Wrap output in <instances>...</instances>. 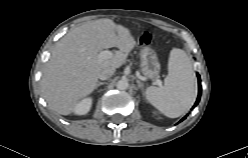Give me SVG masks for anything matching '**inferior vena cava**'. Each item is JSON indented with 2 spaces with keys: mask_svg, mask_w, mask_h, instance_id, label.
I'll return each mask as SVG.
<instances>
[{
  "mask_svg": "<svg viewBox=\"0 0 248 158\" xmlns=\"http://www.w3.org/2000/svg\"><path fill=\"white\" fill-rule=\"evenodd\" d=\"M115 73V68L113 67H108L105 68L101 71V73L99 74V79L101 80H107L109 79L113 74Z\"/></svg>",
  "mask_w": 248,
  "mask_h": 158,
  "instance_id": "obj_1",
  "label": "inferior vena cava"
}]
</instances>
